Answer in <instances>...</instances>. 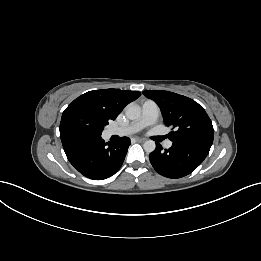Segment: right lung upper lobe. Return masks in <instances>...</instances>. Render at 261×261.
I'll list each match as a JSON object with an SVG mask.
<instances>
[{
	"mask_svg": "<svg viewBox=\"0 0 261 261\" xmlns=\"http://www.w3.org/2000/svg\"><path fill=\"white\" fill-rule=\"evenodd\" d=\"M140 95L138 91L120 89L93 90L79 96L71 104H87L108 120H115L123 108Z\"/></svg>",
	"mask_w": 261,
	"mask_h": 261,
	"instance_id": "cb5924a9",
	"label": "right lung upper lobe"
}]
</instances>
